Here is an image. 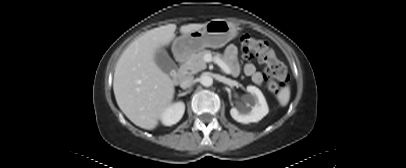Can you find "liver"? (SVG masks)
Returning <instances> with one entry per match:
<instances>
[{
    "label": "liver",
    "instance_id": "liver-1",
    "mask_svg": "<svg viewBox=\"0 0 406 168\" xmlns=\"http://www.w3.org/2000/svg\"><path fill=\"white\" fill-rule=\"evenodd\" d=\"M205 24L183 25L180 32L198 31ZM175 30V24H168L147 31L128 46L115 67L116 102L126 117L143 129L156 128L174 98L173 81L156 64L155 54L175 39Z\"/></svg>",
    "mask_w": 406,
    "mask_h": 168
}]
</instances>
